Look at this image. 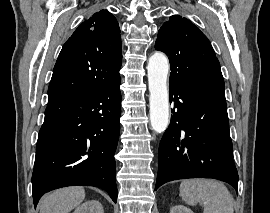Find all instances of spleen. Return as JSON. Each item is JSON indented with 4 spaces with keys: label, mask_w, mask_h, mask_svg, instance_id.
Masks as SVG:
<instances>
[{
    "label": "spleen",
    "mask_w": 270,
    "mask_h": 213,
    "mask_svg": "<svg viewBox=\"0 0 270 213\" xmlns=\"http://www.w3.org/2000/svg\"><path fill=\"white\" fill-rule=\"evenodd\" d=\"M182 200L194 206L202 203L203 213H233V197L227 187L211 179H188L180 184Z\"/></svg>",
    "instance_id": "3e777b00"
}]
</instances>
